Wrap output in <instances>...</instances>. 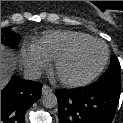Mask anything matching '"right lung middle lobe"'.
I'll list each match as a JSON object with an SVG mask.
<instances>
[{"instance_id": "dd1d6c3e", "label": "right lung middle lobe", "mask_w": 123, "mask_h": 123, "mask_svg": "<svg viewBox=\"0 0 123 123\" xmlns=\"http://www.w3.org/2000/svg\"><path fill=\"white\" fill-rule=\"evenodd\" d=\"M20 40V37L18 34H15L10 30V27H6L1 29V43L10 46L15 47Z\"/></svg>"}]
</instances>
